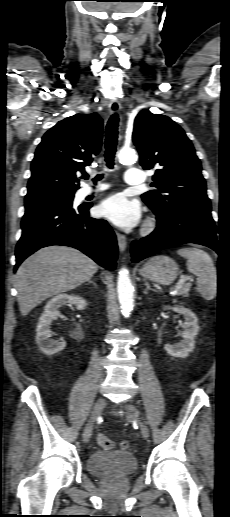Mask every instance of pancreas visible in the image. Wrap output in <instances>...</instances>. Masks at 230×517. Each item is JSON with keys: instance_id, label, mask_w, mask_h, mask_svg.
<instances>
[{"instance_id": "obj_1", "label": "pancreas", "mask_w": 230, "mask_h": 517, "mask_svg": "<svg viewBox=\"0 0 230 517\" xmlns=\"http://www.w3.org/2000/svg\"><path fill=\"white\" fill-rule=\"evenodd\" d=\"M191 284L184 285L182 288L178 290V295H182L183 297H187L189 295Z\"/></svg>"}]
</instances>
